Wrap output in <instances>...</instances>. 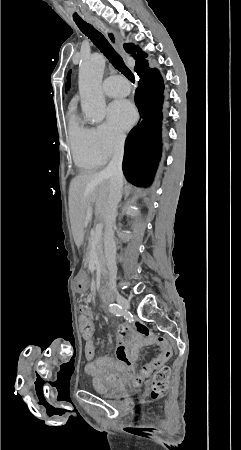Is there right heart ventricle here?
<instances>
[{
	"label": "right heart ventricle",
	"instance_id": "1",
	"mask_svg": "<svg viewBox=\"0 0 241 450\" xmlns=\"http://www.w3.org/2000/svg\"><path fill=\"white\" fill-rule=\"evenodd\" d=\"M93 130L80 122L75 115L70 116L68 124V138L76 165L80 168H95L102 166L106 160L94 150L91 136ZM97 131V137L98 130Z\"/></svg>",
	"mask_w": 241,
	"mask_h": 450
}]
</instances>
